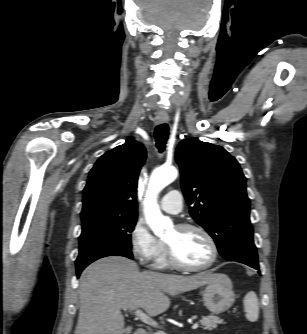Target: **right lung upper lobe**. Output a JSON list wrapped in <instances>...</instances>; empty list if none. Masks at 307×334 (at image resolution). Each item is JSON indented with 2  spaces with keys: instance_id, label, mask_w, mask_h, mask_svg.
<instances>
[{
  "instance_id": "obj_1",
  "label": "right lung upper lobe",
  "mask_w": 307,
  "mask_h": 334,
  "mask_svg": "<svg viewBox=\"0 0 307 334\" xmlns=\"http://www.w3.org/2000/svg\"><path fill=\"white\" fill-rule=\"evenodd\" d=\"M145 159L144 146L132 138L102 155L89 173L81 217H137V181Z\"/></svg>"
}]
</instances>
